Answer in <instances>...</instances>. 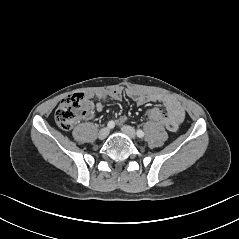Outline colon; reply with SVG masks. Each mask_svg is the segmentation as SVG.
<instances>
[{"label":"colon","instance_id":"1","mask_svg":"<svg viewBox=\"0 0 239 239\" xmlns=\"http://www.w3.org/2000/svg\"><path fill=\"white\" fill-rule=\"evenodd\" d=\"M93 108V103L88 94L74 93L64 98L55 111L57 125L65 131L72 129L76 121L82 116L88 115ZM165 111L153 106L147 112V118L158 122L165 120Z\"/></svg>","mask_w":239,"mask_h":239}]
</instances>
